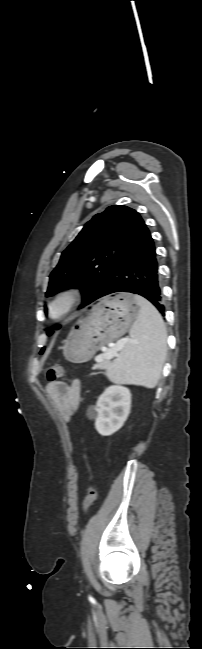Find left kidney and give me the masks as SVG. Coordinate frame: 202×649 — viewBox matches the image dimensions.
I'll list each match as a JSON object with an SVG mask.
<instances>
[{"label":"left kidney","instance_id":"5707ae66","mask_svg":"<svg viewBox=\"0 0 202 649\" xmlns=\"http://www.w3.org/2000/svg\"><path fill=\"white\" fill-rule=\"evenodd\" d=\"M131 409V392L120 385L105 389L96 404L95 428L99 434L109 436L119 430L127 420Z\"/></svg>","mask_w":202,"mask_h":649}]
</instances>
